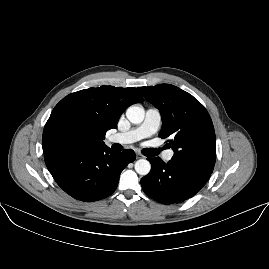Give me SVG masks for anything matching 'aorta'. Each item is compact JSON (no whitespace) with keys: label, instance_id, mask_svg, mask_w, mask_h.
Returning a JSON list of instances; mask_svg holds the SVG:
<instances>
[{"label":"aorta","instance_id":"1","mask_svg":"<svg viewBox=\"0 0 269 269\" xmlns=\"http://www.w3.org/2000/svg\"><path fill=\"white\" fill-rule=\"evenodd\" d=\"M127 119L133 124L142 123L145 117V110L140 105L130 106L126 111ZM151 170V164L146 159H139L135 163V171L139 175H147Z\"/></svg>","mask_w":269,"mask_h":269}]
</instances>
